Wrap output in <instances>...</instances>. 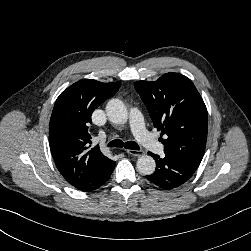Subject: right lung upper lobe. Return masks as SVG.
<instances>
[{
  "instance_id": "right-lung-upper-lobe-1",
  "label": "right lung upper lobe",
  "mask_w": 251,
  "mask_h": 251,
  "mask_svg": "<svg viewBox=\"0 0 251 251\" xmlns=\"http://www.w3.org/2000/svg\"><path fill=\"white\" fill-rule=\"evenodd\" d=\"M120 82L82 79L57 98L49 124V142L57 169L75 186L110 161L99 146H91L88 131L93 111L120 88Z\"/></svg>"
}]
</instances>
